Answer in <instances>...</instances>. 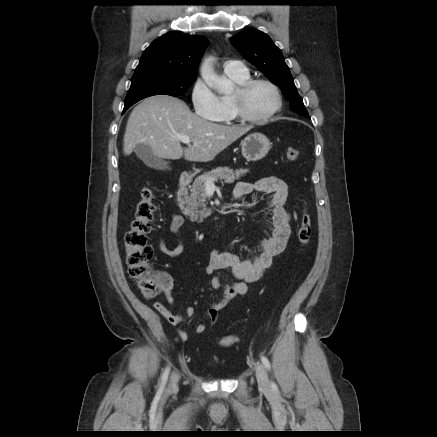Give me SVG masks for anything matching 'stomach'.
<instances>
[{"instance_id":"0dacf381","label":"stomach","mask_w":437,"mask_h":437,"mask_svg":"<svg viewBox=\"0 0 437 437\" xmlns=\"http://www.w3.org/2000/svg\"><path fill=\"white\" fill-rule=\"evenodd\" d=\"M271 148L269 139L261 133H252L241 142V151L247 161H258L264 158Z\"/></svg>"}]
</instances>
